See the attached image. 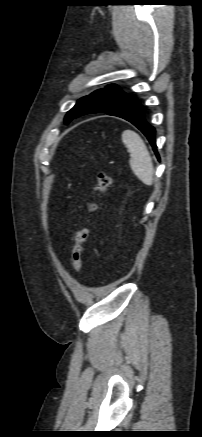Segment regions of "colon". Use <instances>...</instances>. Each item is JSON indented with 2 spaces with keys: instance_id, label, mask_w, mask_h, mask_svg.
I'll return each instance as SVG.
<instances>
[{
  "instance_id": "obj_1",
  "label": "colon",
  "mask_w": 202,
  "mask_h": 437,
  "mask_svg": "<svg viewBox=\"0 0 202 437\" xmlns=\"http://www.w3.org/2000/svg\"><path fill=\"white\" fill-rule=\"evenodd\" d=\"M111 184L112 178L109 173L101 165H98L97 184L95 186V198L88 203L87 215L83 219L81 226L75 231L74 234V246L72 249L71 261L72 267L76 272H79L82 267L83 248L89 235V216L97 210L99 198L108 191Z\"/></svg>"
}]
</instances>
